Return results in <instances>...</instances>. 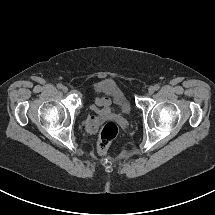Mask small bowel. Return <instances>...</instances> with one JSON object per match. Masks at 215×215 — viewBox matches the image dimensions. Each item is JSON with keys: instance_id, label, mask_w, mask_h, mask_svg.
I'll return each mask as SVG.
<instances>
[{"instance_id": "obj_1", "label": "small bowel", "mask_w": 215, "mask_h": 215, "mask_svg": "<svg viewBox=\"0 0 215 215\" xmlns=\"http://www.w3.org/2000/svg\"><path fill=\"white\" fill-rule=\"evenodd\" d=\"M111 102L108 98L99 97L95 100L94 104L91 106V109L94 110L99 117L90 116L86 121V126L90 134H95L97 132V125L99 118L107 116L108 109Z\"/></svg>"}]
</instances>
